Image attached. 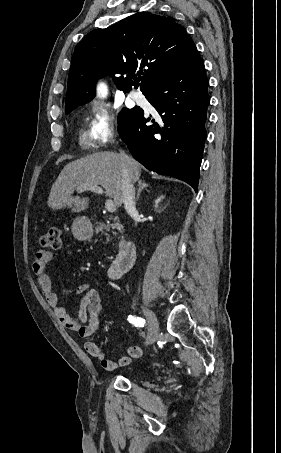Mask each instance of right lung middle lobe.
I'll use <instances>...</instances> for the list:
<instances>
[{"label": "right lung middle lobe", "mask_w": 281, "mask_h": 453, "mask_svg": "<svg viewBox=\"0 0 281 453\" xmlns=\"http://www.w3.org/2000/svg\"><path fill=\"white\" fill-rule=\"evenodd\" d=\"M71 111H67L66 114L70 113Z\"/></svg>", "instance_id": "dd1d6c3e"}]
</instances>
